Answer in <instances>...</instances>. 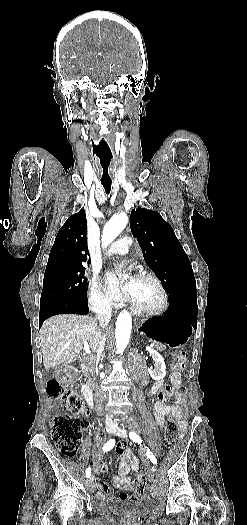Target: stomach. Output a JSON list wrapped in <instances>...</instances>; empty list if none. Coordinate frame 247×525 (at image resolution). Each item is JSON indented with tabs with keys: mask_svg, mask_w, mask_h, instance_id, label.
<instances>
[{
	"mask_svg": "<svg viewBox=\"0 0 247 525\" xmlns=\"http://www.w3.org/2000/svg\"><path fill=\"white\" fill-rule=\"evenodd\" d=\"M138 329L150 340L174 349L184 345L192 333L191 327L185 322L160 316L142 320Z\"/></svg>",
	"mask_w": 247,
	"mask_h": 525,
	"instance_id": "obj_1",
	"label": "stomach"
}]
</instances>
